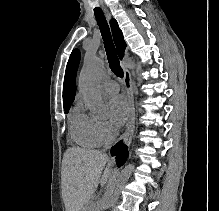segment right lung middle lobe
Instances as JSON below:
<instances>
[{
  "instance_id": "1",
  "label": "right lung middle lobe",
  "mask_w": 219,
  "mask_h": 211,
  "mask_svg": "<svg viewBox=\"0 0 219 211\" xmlns=\"http://www.w3.org/2000/svg\"><path fill=\"white\" fill-rule=\"evenodd\" d=\"M70 106H71V104L64 105V110H65L66 113H68Z\"/></svg>"
}]
</instances>
